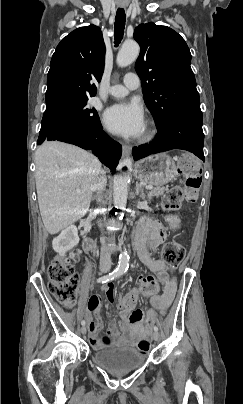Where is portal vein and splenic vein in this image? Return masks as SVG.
Masks as SVG:
<instances>
[{
    "mask_svg": "<svg viewBox=\"0 0 243 404\" xmlns=\"http://www.w3.org/2000/svg\"><path fill=\"white\" fill-rule=\"evenodd\" d=\"M146 190H153V186H146ZM77 194H80V192H77Z\"/></svg>",
    "mask_w": 243,
    "mask_h": 404,
    "instance_id": "portal-vein-and-splenic-vein-1",
    "label": "portal vein and splenic vein"
}]
</instances>
